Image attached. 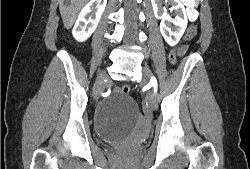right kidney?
<instances>
[{
    "mask_svg": "<svg viewBox=\"0 0 250 169\" xmlns=\"http://www.w3.org/2000/svg\"><path fill=\"white\" fill-rule=\"evenodd\" d=\"M107 0H90L82 8L72 30L76 40L83 42L94 32L106 6Z\"/></svg>",
    "mask_w": 250,
    "mask_h": 169,
    "instance_id": "ca27d5eb",
    "label": "right kidney"
}]
</instances>
